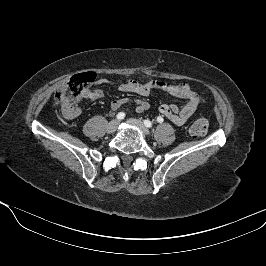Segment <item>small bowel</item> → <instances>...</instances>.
<instances>
[{
  "label": "small bowel",
  "mask_w": 266,
  "mask_h": 266,
  "mask_svg": "<svg viewBox=\"0 0 266 266\" xmlns=\"http://www.w3.org/2000/svg\"><path fill=\"white\" fill-rule=\"evenodd\" d=\"M111 85L121 92L134 93L141 96H148L154 91H163L175 97L183 99L185 102L182 105L177 104H162L159 107V112L162 116L167 118L175 125L181 126L188 122L195 114L198 106L204 102V99L193 90V88L187 83L172 84L162 80H150L146 82H140L134 79H130L125 83L115 84L106 79H98L96 85ZM84 97L89 101H95L103 97V91L98 88H87L84 91ZM133 103L136 106L138 113L144 112L149 109V103L130 97H125L112 101L111 108L113 110L119 109L125 104ZM65 117L75 118L81 110L78 107H74L71 111L63 110Z\"/></svg>",
  "instance_id": "c3829d8e"
}]
</instances>
